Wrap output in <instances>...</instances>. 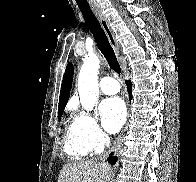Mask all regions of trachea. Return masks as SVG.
Segmentation results:
<instances>
[{"instance_id": "trachea-1", "label": "trachea", "mask_w": 196, "mask_h": 182, "mask_svg": "<svg viewBox=\"0 0 196 182\" xmlns=\"http://www.w3.org/2000/svg\"><path fill=\"white\" fill-rule=\"evenodd\" d=\"M79 8L83 14L87 27L91 31L95 39V42L97 43L98 48L100 49L101 53L104 55L110 68L115 73L120 74L121 69H120L119 62L98 19L96 18V16L94 15L90 7L79 6Z\"/></svg>"}]
</instances>
